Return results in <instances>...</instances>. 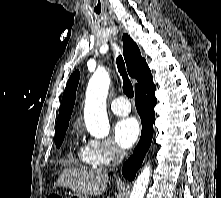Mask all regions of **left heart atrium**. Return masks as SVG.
<instances>
[{"label": "left heart atrium", "mask_w": 221, "mask_h": 198, "mask_svg": "<svg viewBox=\"0 0 221 198\" xmlns=\"http://www.w3.org/2000/svg\"><path fill=\"white\" fill-rule=\"evenodd\" d=\"M139 134V123L132 117L120 120L114 128L115 140L122 148H130L137 141Z\"/></svg>", "instance_id": "1"}]
</instances>
